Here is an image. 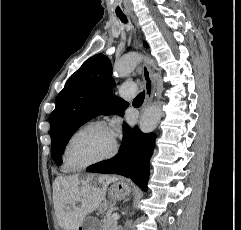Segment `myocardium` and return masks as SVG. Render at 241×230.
<instances>
[{
	"label": "myocardium",
	"mask_w": 241,
	"mask_h": 230,
	"mask_svg": "<svg viewBox=\"0 0 241 230\" xmlns=\"http://www.w3.org/2000/svg\"><path fill=\"white\" fill-rule=\"evenodd\" d=\"M94 127H101V128H106V129H109L108 128V125L106 124V122L104 121H101V120H95V121H91V122H88L86 124H84L83 126H81L79 129H77L72 135L71 137L69 138V140L67 141L66 145H65V148H64V153H63V161L66 163V165L68 166V168L70 170H82V169H85V168H88V167H91V166H94V165H97V164H101V163H104V162H107V161H110L112 160L117 154H118V151H119V145L117 143V141L114 139V145H113V148L112 150L105 156L101 157V158H98V159H95L93 161H90V162H87V163H84V164H81V165H73L70 160H69V150H70V147H71V144L72 142L74 141V139L80 134L82 133L83 131L87 130V129H90V128H94Z\"/></svg>",
	"instance_id": "obj_1"
}]
</instances>
